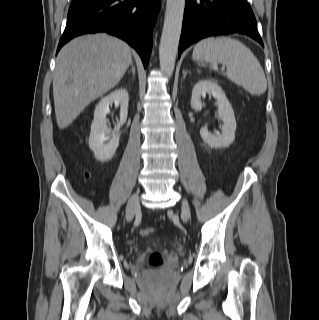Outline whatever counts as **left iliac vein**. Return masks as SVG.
<instances>
[{
    "label": "left iliac vein",
    "mask_w": 319,
    "mask_h": 320,
    "mask_svg": "<svg viewBox=\"0 0 319 320\" xmlns=\"http://www.w3.org/2000/svg\"><path fill=\"white\" fill-rule=\"evenodd\" d=\"M190 218V210H189V206L188 203L183 200L182 202V219L183 221L187 222Z\"/></svg>",
    "instance_id": "obj_1"
}]
</instances>
